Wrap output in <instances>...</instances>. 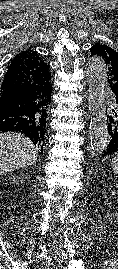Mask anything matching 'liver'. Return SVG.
<instances>
[{
    "label": "liver",
    "mask_w": 118,
    "mask_h": 269,
    "mask_svg": "<svg viewBox=\"0 0 118 269\" xmlns=\"http://www.w3.org/2000/svg\"><path fill=\"white\" fill-rule=\"evenodd\" d=\"M38 151L31 140L22 134H0V175L33 165Z\"/></svg>",
    "instance_id": "liver-1"
}]
</instances>
